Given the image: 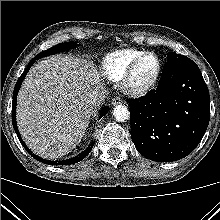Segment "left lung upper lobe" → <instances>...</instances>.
I'll list each match as a JSON object with an SVG mask.
<instances>
[{"mask_svg":"<svg viewBox=\"0 0 220 220\" xmlns=\"http://www.w3.org/2000/svg\"><path fill=\"white\" fill-rule=\"evenodd\" d=\"M168 60H182V59H186L188 57L184 56V55H180V54H176V52H170L167 55Z\"/></svg>","mask_w":220,"mask_h":220,"instance_id":"obj_1","label":"left lung upper lobe"}]
</instances>
